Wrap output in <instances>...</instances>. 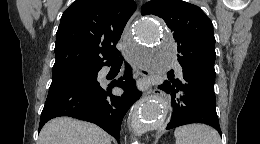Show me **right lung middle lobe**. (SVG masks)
<instances>
[{"instance_id": "dd1d6c3e", "label": "right lung middle lobe", "mask_w": 260, "mask_h": 144, "mask_svg": "<svg viewBox=\"0 0 260 144\" xmlns=\"http://www.w3.org/2000/svg\"><path fill=\"white\" fill-rule=\"evenodd\" d=\"M98 67H74L62 70H56L52 72V83L57 84L73 79L87 80L95 75Z\"/></svg>"}]
</instances>
